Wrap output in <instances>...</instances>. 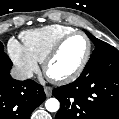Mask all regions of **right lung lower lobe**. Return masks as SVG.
Wrapping results in <instances>:
<instances>
[{"label": "right lung lower lobe", "instance_id": "obj_1", "mask_svg": "<svg viewBox=\"0 0 119 119\" xmlns=\"http://www.w3.org/2000/svg\"><path fill=\"white\" fill-rule=\"evenodd\" d=\"M11 66L0 62V119H29L46 95L33 80H14Z\"/></svg>", "mask_w": 119, "mask_h": 119}]
</instances>
